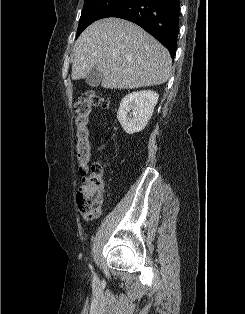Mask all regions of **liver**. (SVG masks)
I'll list each match as a JSON object with an SVG mask.
<instances>
[{
    "label": "liver",
    "mask_w": 245,
    "mask_h": 314,
    "mask_svg": "<svg viewBox=\"0 0 245 314\" xmlns=\"http://www.w3.org/2000/svg\"><path fill=\"white\" fill-rule=\"evenodd\" d=\"M73 57V80L86 78L96 67L107 89L160 85L171 75L168 50L138 25L119 18L87 27L75 42Z\"/></svg>",
    "instance_id": "liver-1"
}]
</instances>
